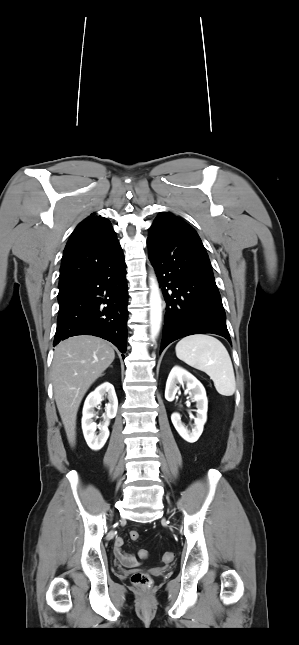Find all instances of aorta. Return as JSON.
I'll use <instances>...</instances> for the list:
<instances>
[{"instance_id": "obj_1", "label": "aorta", "mask_w": 299, "mask_h": 645, "mask_svg": "<svg viewBox=\"0 0 299 645\" xmlns=\"http://www.w3.org/2000/svg\"><path fill=\"white\" fill-rule=\"evenodd\" d=\"M150 324H151V337L154 339L161 325L162 310H161V298L159 293V288L156 280L151 277L150 279Z\"/></svg>"}]
</instances>
